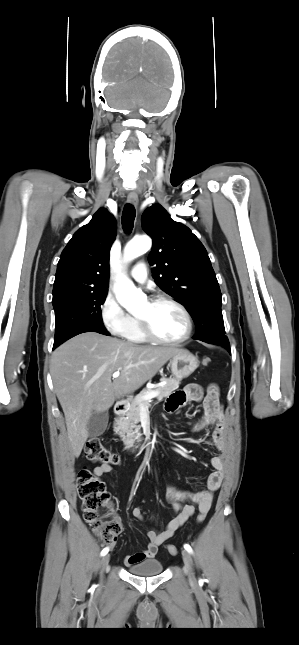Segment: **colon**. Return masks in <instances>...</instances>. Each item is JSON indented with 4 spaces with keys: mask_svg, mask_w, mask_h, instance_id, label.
I'll list each match as a JSON object with an SVG mask.
<instances>
[{
    "mask_svg": "<svg viewBox=\"0 0 299 645\" xmlns=\"http://www.w3.org/2000/svg\"><path fill=\"white\" fill-rule=\"evenodd\" d=\"M211 362L209 357H204L202 360L204 366H209ZM85 456L88 460L100 464L118 465L121 461L117 453L105 448L96 437L87 441ZM77 483L84 520L104 543L112 545L122 530V524L113 510L110 494L104 483L89 469L79 471ZM205 518L206 513L200 512L197 522L201 524ZM167 550L172 555L178 553L175 545H168Z\"/></svg>",
    "mask_w": 299,
    "mask_h": 645,
    "instance_id": "1",
    "label": "colon"
}]
</instances>
